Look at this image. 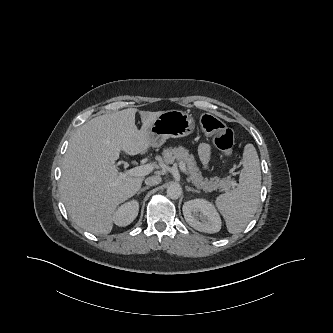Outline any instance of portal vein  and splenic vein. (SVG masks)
<instances>
[{
  "label": "portal vein and splenic vein",
  "mask_w": 333,
  "mask_h": 333,
  "mask_svg": "<svg viewBox=\"0 0 333 333\" xmlns=\"http://www.w3.org/2000/svg\"><path fill=\"white\" fill-rule=\"evenodd\" d=\"M179 168L183 173L187 172L185 164L179 163ZM152 170L153 167L150 164L141 165L127 170L125 173H123V176H145Z\"/></svg>",
  "instance_id": "1"
}]
</instances>
